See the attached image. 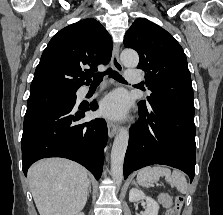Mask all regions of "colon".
I'll list each match as a JSON object with an SVG mask.
<instances>
[{"instance_id": "5ec220e1", "label": "colon", "mask_w": 223, "mask_h": 215, "mask_svg": "<svg viewBox=\"0 0 223 215\" xmlns=\"http://www.w3.org/2000/svg\"><path fill=\"white\" fill-rule=\"evenodd\" d=\"M184 203V198L182 196H177L174 202L173 207H171L166 215H179Z\"/></svg>"}]
</instances>
